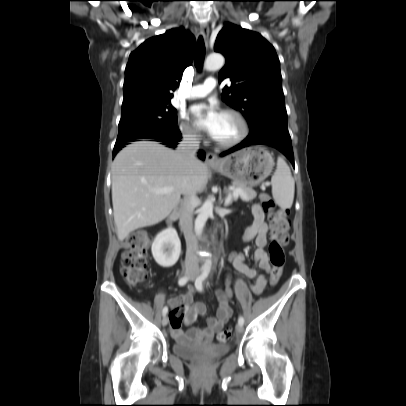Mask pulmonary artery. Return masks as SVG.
<instances>
[{
    "label": "pulmonary artery",
    "instance_id": "pulmonary-artery-1",
    "mask_svg": "<svg viewBox=\"0 0 406 406\" xmlns=\"http://www.w3.org/2000/svg\"><path fill=\"white\" fill-rule=\"evenodd\" d=\"M216 88V80L207 78L202 84L193 86L187 94L188 99H198L205 97L213 89Z\"/></svg>",
    "mask_w": 406,
    "mask_h": 406
}]
</instances>
